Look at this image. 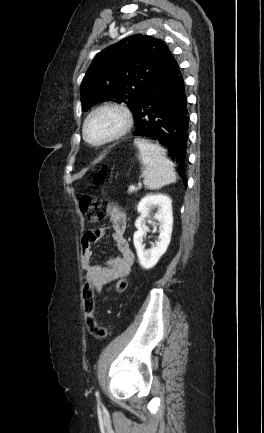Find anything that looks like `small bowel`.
<instances>
[{"instance_id":"1","label":"small bowel","mask_w":264,"mask_h":433,"mask_svg":"<svg viewBox=\"0 0 264 433\" xmlns=\"http://www.w3.org/2000/svg\"><path fill=\"white\" fill-rule=\"evenodd\" d=\"M106 213L119 256L109 259L106 265L92 263V244L104 235V228L92 229L81 239V265L85 272V279L91 282L98 292H101L111 281L127 277L135 262L134 254L125 238V214L114 203L107 205Z\"/></svg>"}]
</instances>
